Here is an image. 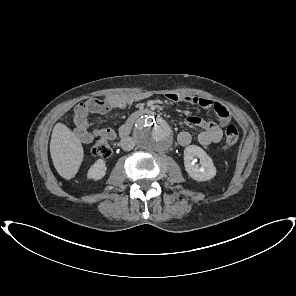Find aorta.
I'll list each match as a JSON object with an SVG mask.
<instances>
[{"instance_id": "762f6f07", "label": "aorta", "mask_w": 296, "mask_h": 296, "mask_svg": "<svg viewBox=\"0 0 296 296\" xmlns=\"http://www.w3.org/2000/svg\"><path fill=\"white\" fill-rule=\"evenodd\" d=\"M135 140L146 151L163 153L172 145V129L166 121L146 115L137 121Z\"/></svg>"}]
</instances>
